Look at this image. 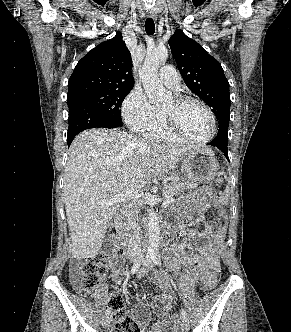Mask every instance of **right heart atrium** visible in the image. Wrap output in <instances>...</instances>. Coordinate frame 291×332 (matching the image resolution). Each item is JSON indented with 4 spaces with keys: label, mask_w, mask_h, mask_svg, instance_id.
Returning <instances> with one entry per match:
<instances>
[{
    "label": "right heart atrium",
    "mask_w": 291,
    "mask_h": 332,
    "mask_svg": "<svg viewBox=\"0 0 291 332\" xmlns=\"http://www.w3.org/2000/svg\"><path fill=\"white\" fill-rule=\"evenodd\" d=\"M122 115L127 126L136 132L145 133L159 123L157 110L149 103L139 88H134L125 98Z\"/></svg>",
    "instance_id": "1"
}]
</instances>
